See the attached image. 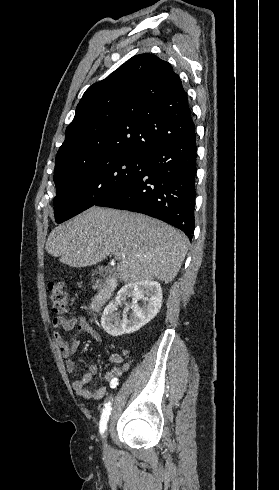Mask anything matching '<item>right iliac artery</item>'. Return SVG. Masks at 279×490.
<instances>
[{"mask_svg": "<svg viewBox=\"0 0 279 490\" xmlns=\"http://www.w3.org/2000/svg\"><path fill=\"white\" fill-rule=\"evenodd\" d=\"M111 381H112L111 389L115 390L116 387L120 384V381L118 380V378L116 376H113L111 378ZM111 410H112L111 402L109 401L108 403L105 404V408L103 409V413L101 415V420H100V433L101 434H103L107 428V422H108Z\"/></svg>", "mask_w": 279, "mask_h": 490, "instance_id": "1", "label": "right iliac artery"}]
</instances>
